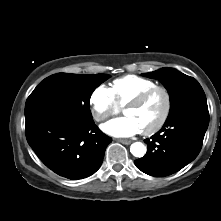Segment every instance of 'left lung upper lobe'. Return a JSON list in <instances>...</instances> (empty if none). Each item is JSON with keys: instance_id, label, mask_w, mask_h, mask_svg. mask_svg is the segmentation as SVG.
<instances>
[{"instance_id": "5c2ea615", "label": "left lung upper lobe", "mask_w": 221, "mask_h": 221, "mask_svg": "<svg viewBox=\"0 0 221 221\" xmlns=\"http://www.w3.org/2000/svg\"><path fill=\"white\" fill-rule=\"evenodd\" d=\"M142 75L158 79L166 87L170 95L169 115L187 104L206 100L205 93L198 81L176 69L162 68Z\"/></svg>"}]
</instances>
